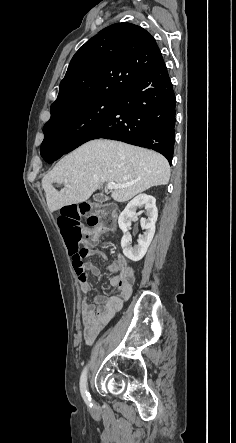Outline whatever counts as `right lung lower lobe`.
I'll return each mask as SVG.
<instances>
[{
    "label": "right lung lower lobe",
    "instance_id": "98d812e1",
    "mask_svg": "<svg viewBox=\"0 0 236 443\" xmlns=\"http://www.w3.org/2000/svg\"><path fill=\"white\" fill-rule=\"evenodd\" d=\"M175 106L172 83L160 57L148 72L115 99L105 114L72 137L67 146H46L41 149V156L52 163L89 140L106 138L153 149L171 163Z\"/></svg>",
    "mask_w": 236,
    "mask_h": 443
}]
</instances>
